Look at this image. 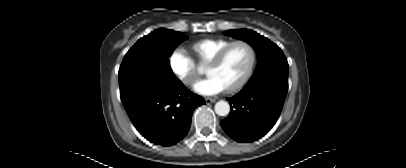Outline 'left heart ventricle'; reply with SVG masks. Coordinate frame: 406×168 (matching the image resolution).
Segmentation results:
<instances>
[{"instance_id":"obj_1","label":"left heart ventricle","mask_w":406,"mask_h":168,"mask_svg":"<svg viewBox=\"0 0 406 168\" xmlns=\"http://www.w3.org/2000/svg\"><path fill=\"white\" fill-rule=\"evenodd\" d=\"M251 54L246 45L233 46L225 55L222 62L216 67H206L205 73L215 77L224 88L236 84L246 72Z\"/></svg>"}]
</instances>
